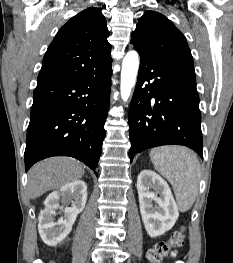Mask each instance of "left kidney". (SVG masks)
<instances>
[{"mask_svg": "<svg viewBox=\"0 0 233 263\" xmlns=\"http://www.w3.org/2000/svg\"><path fill=\"white\" fill-rule=\"evenodd\" d=\"M137 190L142 220L149 236L154 238L169 231L179 211L167 182L154 171L143 170L137 178ZM153 201L157 206H153Z\"/></svg>", "mask_w": 233, "mask_h": 263, "instance_id": "5707ae66", "label": "left kidney"}]
</instances>
